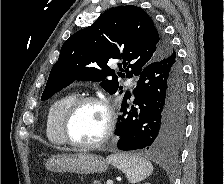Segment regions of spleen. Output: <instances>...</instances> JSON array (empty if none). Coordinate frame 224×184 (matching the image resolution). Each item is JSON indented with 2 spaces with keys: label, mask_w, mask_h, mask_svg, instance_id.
I'll list each match as a JSON object with an SVG mask.
<instances>
[{
  "label": "spleen",
  "mask_w": 224,
  "mask_h": 184,
  "mask_svg": "<svg viewBox=\"0 0 224 184\" xmlns=\"http://www.w3.org/2000/svg\"><path fill=\"white\" fill-rule=\"evenodd\" d=\"M106 160L125 173L130 183L142 181L150 176L153 171L152 163L144 157L137 155L125 153L112 154Z\"/></svg>",
  "instance_id": "spleen-1"
}]
</instances>
